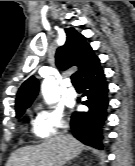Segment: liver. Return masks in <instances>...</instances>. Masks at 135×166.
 Returning a JSON list of instances; mask_svg holds the SVG:
<instances>
[{"instance_id":"liver-1","label":"liver","mask_w":135,"mask_h":166,"mask_svg":"<svg viewBox=\"0 0 135 166\" xmlns=\"http://www.w3.org/2000/svg\"><path fill=\"white\" fill-rule=\"evenodd\" d=\"M84 146L71 135H58L35 146L13 152L6 166H62L77 157Z\"/></svg>"}]
</instances>
